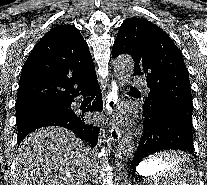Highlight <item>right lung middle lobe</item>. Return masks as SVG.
<instances>
[{"instance_id": "dd1d6c3e", "label": "right lung middle lobe", "mask_w": 207, "mask_h": 185, "mask_svg": "<svg viewBox=\"0 0 207 185\" xmlns=\"http://www.w3.org/2000/svg\"><path fill=\"white\" fill-rule=\"evenodd\" d=\"M56 108H64V106L62 104H53V105H49V106L42 107V108H36V109L25 110V111H18V112H16V122L23 119V118L31 116L33 114L46 112V111L56 109Z\"/></svg>"}]
</instances>
